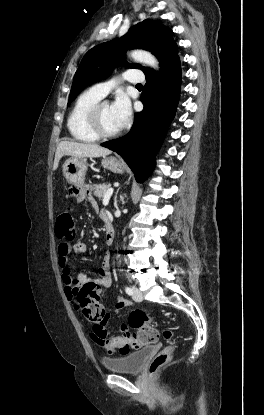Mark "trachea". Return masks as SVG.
I'll return each instance as SVG.
<instances>
[{
	"label": "trachea",
	"instance_id": "trachea-1",
	"mask_svg": "<svg viewBox=\"0 0 264 415\" xmlns=\"http://www.w3.org/2000/svg\"><path fill=\"white\" fill-rule=\"evenodd\" d=\"M136 86H137V87H142V84H137Z\"/></svg>",
	"mask_w": 264,
	"mask_h": 415
}]
</instances>
